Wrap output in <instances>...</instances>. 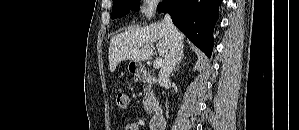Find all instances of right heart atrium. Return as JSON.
<instances>
[{
  "label": "right heart atrium",
  "mask_w": 299,
  "mask_h": 130,
  "mask_svg": "<svg viewBox=\"0 0 299 130\" xmlns=\"http://www.w3.org/2000/svg\"><path fill=\"white\" fill-rule=\"evenodd\" d=\"M158 1L156 0H147L144 2L142 7V12L146 17H151L155 13L158 7Z\"/></svg>",
  "instance_id": "1"
}]
</instances>
